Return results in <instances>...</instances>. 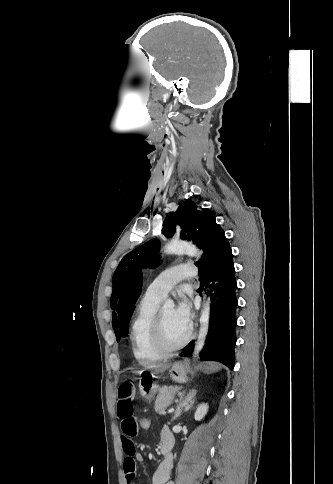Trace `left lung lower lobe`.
Listing matches in <instances>:
<instances>
[{"label":"left lung lower lobe","instance_id":"0a47b994","mask_svg":"<svg viewBox=\"0 0 333 484\" xmlns=\"http://www.w3.org/2000/svg\"><path fill=\"white\" fill-rule=\"evenodd\" d=\"M202 250V258L196 263L200 290L204 286L209 287L212 301L209 331L200 357L202 360L220 361L233 369L237 284L230 244L215 219L208 224ZM193 346L192 341L180 355L190 356Z\"/></svg>","mask_w":333,"mask_h":484}]
</instances>
